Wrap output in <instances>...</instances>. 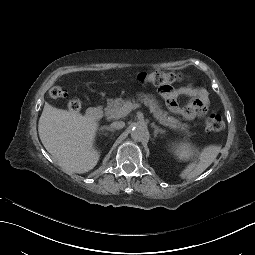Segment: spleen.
<instances>
[{
    "label": "spleen",
    "mask_w": 255,
    "mask_h": 255,
    "mask_svg": "<svg viewBox=\"0 0 255 255\" xmlns=\"http://www.w3.org/2000/svg\"><path fill=\"white\" fill-rule=\"evenodd\" d=\"M220 152V147L218 146H208L203 149L199 155V163H192L180 174L181 178L192 179L202 172L215 160L218 153ZM197 153V150L188 142H182L177 145L175 154L180 160H188Z\"/></svg>",
    "instance_id": "spleen-1"
}]
</instances>
